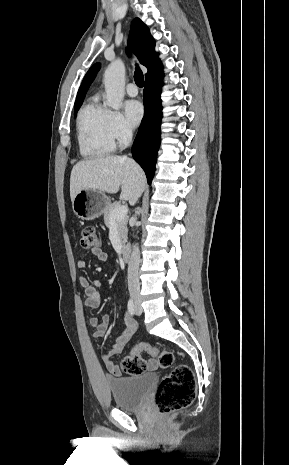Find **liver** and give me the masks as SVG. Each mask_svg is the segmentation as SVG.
Listing matches in <instances>:
<instances>
[{"label":"liver","instance_id":"liver-1","mask_svg":"<svg viewBox=\"0 0 289 465\" xmlns=\"http://www.w3.org/2000/svg\"><path fill=\"white\" fill-rule=\"evenodd\" d=\"M146 186L142 168L130 158L112 155L80 161L74 165L70 176V197L84 189L117 193L120 199L134 205Z\"/></svg>","mask_w":289,"mask_h":465}]
</instances>
